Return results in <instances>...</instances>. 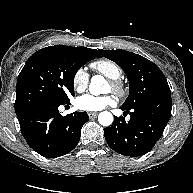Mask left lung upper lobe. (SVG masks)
Wrapping results in <instances>:
<instances>
[{
	"instance_id": "1",
	"label": "left lung upper lobe",
	"mask_w": 193,
	"mask_h": 193,
	"mask_svg": "<svg viewBox=\"0 0 193 193\" xmlns=\"http://www.w3.org/2000/svg\"><path fill=\"white\" fill-rule=\"evenodd\" d=\"M100 54L118 64L129 80V96L121 106L124 109L134 107L170 92L162 71L150 60L124 50H99Z\"/></svg>"
}]
</instances>
